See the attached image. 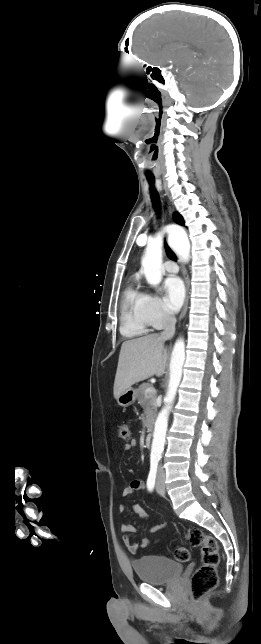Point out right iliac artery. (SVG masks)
I'll list each match as a JSON object with an SVG mask.
<instances>
[{
    "mask_svg": "<svg viewBox=\"0 0 261 644\" xmlns=\"http://www.w3.org/2000/svg\"><path fill=\"white\" fill-rule=\"evenodd\" d=\"M158 460L151 459L150 462V472L147 479V488L149 491H152L155 486L156 473H157Z\"/></svg>",
    "mask_w": 261,
    "mask_h": 644,
    "instance_id": "right-iliac-artery-1",
    "label": "right iliac artery"
}]
</instances>
